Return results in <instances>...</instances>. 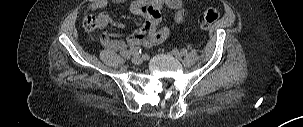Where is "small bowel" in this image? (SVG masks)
<instances>
[{"label": "small bowel", "mask_w": 303, "mask_h": 127, "mask_svg": "<svg viewBox=\"0 0 303 127\" xmlns=\"http://www.w3.org/2000/svg\"><path fill=\"white\" fill-rule=\"evenodd\" d=\"M127 0H95L92 2L87 11H96L103 9L109 3H124ZM164 8L175 11L174 19L178 24H182L185 20L186 9L182 0H134L130 5V10L136 15L143 16L145 21L143 25L134 33H132L127 41L116 40L105 34L101 38V44L108 49L124 52L133 46H143L145 48L164 42L169 31L167 28H158L162 18V10ZM98 26L104 28L111 24L116 27H122V24L112 21L106 13H100L97 17Z\"/></svg>", "instance_id": "c3829d8e"}]
</instances>
